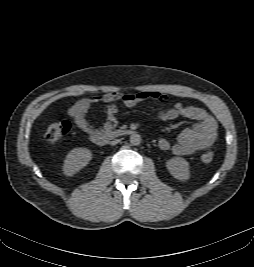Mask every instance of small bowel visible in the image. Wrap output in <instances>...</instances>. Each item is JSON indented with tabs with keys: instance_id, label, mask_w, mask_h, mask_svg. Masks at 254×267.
Returning a JSON list of instances; mask_svg holds the SVG:
<instances>
[{
	"instance_id": "c3829d8e",
	"label": "small bowel",
	"mask_w": 254,
	"mask_h": 267,
	"mask_svg": "<svg viewBox=\"0 0 254 267\" xmlns=\"http://www.w3.org/2000/svg\"><path fill=\"white\" fill-rule=\"evenodd\" d=\"M148 99L165 101L167 96L159 92L140 91L131 94L113 92L101 97H86L76 101L69 108V115L80 130L92 137L100 132L86 119V113L93 105L100 102L105 104L104 130L106 131L112 130L117 125L118 106L116 102L120 101L127 107H135ZM159 117L163 121H172L183 117L197 122L193 127L184 129L179 134L175 144H171L167 139H160L159 147L162 150H171L172 153L179 156L191 155L209 148L216 139L217 123L210 114L200 107L176 103L174 106L161 111Z\"/></svg>"
}]
</instances>
